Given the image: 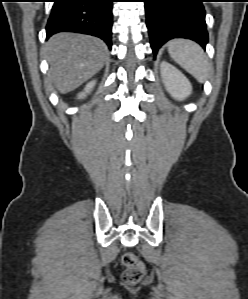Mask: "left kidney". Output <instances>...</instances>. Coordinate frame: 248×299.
<instances>
[{"label": "left kidney", "mask_w": 248, "mask_h": 299, "mask_svg": "<svg viewBox=\"0 0 248 299\" xmlns=\"http://www.w3.org/2000/svg\"><path fill=\"white\" fill-rule=\"evenodd\" d=\"M161 76L167 91L177 100H183L192 92V86L185 75L170 63L160 65Z\"/></svg>", "instance_id": "obj_1"}]
</instances>
